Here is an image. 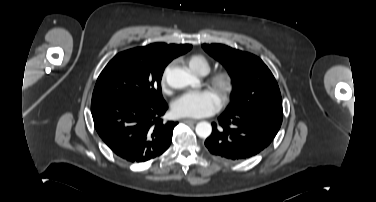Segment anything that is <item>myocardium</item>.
Instances as JSON below:
<instances>
[{"label":"myocardium","mask_w":376,"mask_h":202,"mask_svg":"<svg viewBox=\"0 0 376 202\" xmlns=\"http://www.w3.org/2000/svg\"><path fill=\"white\" fill-rule=\"evenodd\" d=\"M208 84L217 93L221 104L229 100L234 87V77L228 70L215 72L208 78Z\"/></svg>","instance_id":"f54148a6"}]
</instances>
